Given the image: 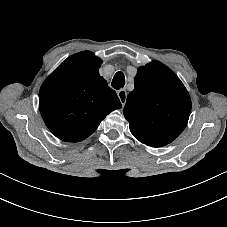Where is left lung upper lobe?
<instances>
[{
  "label": "left lung upper lobe",
  "instance_id": "obj_1",
  "mask_svg": "<svg viewBox=\"0 0 227 227\" xmlns=\"http://www.w3.org/2000/svg\"><path fill=\"white\" fill-rule=\"evenodd\" d=\"M135 88L123 113L140 142L162 147L176 139L187 125L191 99L177 75L159 61L138 69Z\"/></svg>",
  "mask_w": 227,
  "mask_h": 227
}]
</instances>
